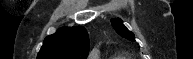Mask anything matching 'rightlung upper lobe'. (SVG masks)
<instances>
[{
	"label": "right lung upper lobe",
	"mask_w": 193,
	"mask_h": 59,
	"mask_svg": "<svg viewBox=\"0 0 193 59\" xmlns=\"http://www.w3.org/2000/svg\"><path fill=\"white\" fill-rule=\"evenodd\" d=\"M89 37L83 27H65L48 36L37 59H86Z\"/></svg>",
	"instance_id": "1"
}]
</instances>
